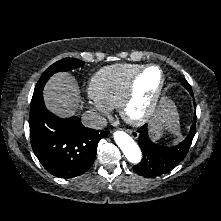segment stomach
I'll return each mask as SVG.
<instances>
[{"mask_svg":"<svg viewBox=\"0 0 221 221\" xmlns=\"http://www.w3.org/2000/svg\"><path fill=\"white\" fill-rule=\"evenodd\" d=\"M164 101H167V99L163 98L160 101L159 107L162 105ZM159 109V108H158ZM166 123L162 119L159 111L156 112L154 119L150 126V136L154 141H158L164 134L166 130Z\"/></svg>","mask_w":221,"mask_h":221,"instance_id":"1","label":"stomach"}]
</instances>
